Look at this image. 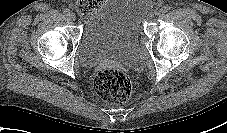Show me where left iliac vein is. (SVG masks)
Instances as JSON below:
<instances>
[{
    "label": "left iliac vein",
    "instance_id": "left-iliac-vein-1",
    "mask_svg": "<svg viewBox=\"0 0 227 133\" xmlns=\"http://www.w3.org/2000/svg\"><path fill=\"white\" fill-rule=\"evenodd\" d=\"M162 13V9H160V8H155L154 9V14L155 15H160Z\"/></svg>",
    "mask_w": 227,
    "mask_h": 133
}]
</instances>
